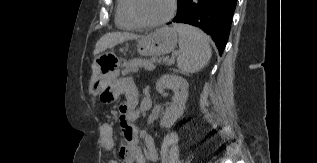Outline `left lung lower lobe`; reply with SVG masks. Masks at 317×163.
Segmentation results:
<instances>
[{
	"mask_svg": "<svg viewBox=\"0 0 317 163\" xmlns=\"http://www.w3.org/2000/svg\"><path fill=\"white\" fill-rule=\"evenodd\" d=\"M236 2L237 0H178V13L173 22L188 23L201 28L213 38L222 54L228 40Z\"/></svg>",
	"mask_w": 317,
	"mask_h": 163,
	"instance_id": "obj_1",
	"label": "left lung lower lobe"
}]
</instances>
